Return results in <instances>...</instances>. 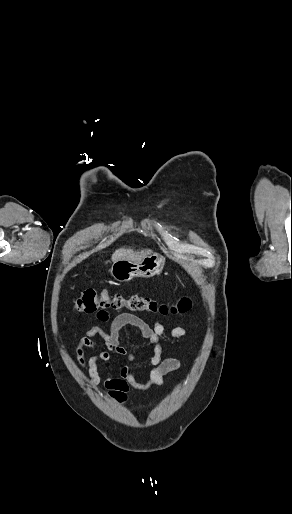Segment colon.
Listing matches in <instances>:
<instances>
[{
    "label": "colon",
    "mask_w": 292,
    "mask_h": 514,
    "mask_svg": "<svg viewBox=\"0 0 292 514\" xmlns=\"http://www.w3.org/2000/svg\"><path fill=\"white\" fill-rule=\"evenodd\" d=\"M75 307L78 311L89 314L106 310L184 314L190 310L191 301L188 297L183 296L175 303L167 304L150 297L126 296L122 293L110 294L106 290L97 292L93 288H87L77 298Z\"/></svg>",
    "instance_id": "1"
}]
</instances>
